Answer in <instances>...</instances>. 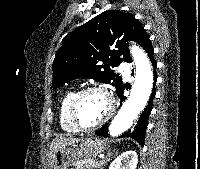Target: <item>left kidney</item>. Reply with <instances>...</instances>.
<instances>
[{
	"label": "left kidney",
	"instance_id": "5707ae66",
	"mask_svg": "<svg viewBox=\"0 0 200 169\" xmlns=\"http://www.w3.org/2000/svg\"><path fill=\"white\" fill-rule=\"evenodd\" d=\"M138 156L135 151L127 150L120 154L109 166V169H136Z\"/></svg>",
	"mask_w": 200,
	"mask_h": 169
}]
</instances>
